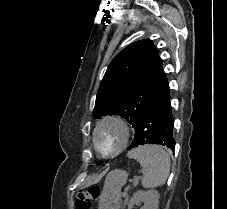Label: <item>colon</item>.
<instances>
[{"instance_id": "5ec220e1", "label": "colon", "mask_w": 227, "mask_h": 209, "mask_svg": "<svg viewBox=\"0 0 227 209\" xmlns=\"http://www.w3.org/2000/svg\"><path fill=\"white\" fill-rule=\"evenodd\" d=\"M101 189L98 186H90L77 192L75 209H91L94 202L99 198Z\"/></svg>"}]
</instances>
